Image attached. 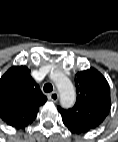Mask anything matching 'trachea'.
Wrapping results in <instances>:
<instances>
[{"label": "trachea", "mask_w": 118, "mask_h": 142, "mask_svg": "<svg viewBox=\"0 0 118 142\" xmlns=\"http://www.w3.org/2000/svg\"><path fill=\"white\" fill-rule=\"evenodd\" d=\"M43 90H44V92H46V93L52 92V91H53V86H52V84H50V83L45 84L44 87H43Z\"/></svg>", "instance_id": "1"}]
</instances>
